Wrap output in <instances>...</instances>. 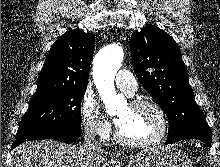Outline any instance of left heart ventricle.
Instances as JSON below:
<instances>
[{
  "label": "left heart ventricle",
  "mask_w": 220,
  "mask_h": 167,
  "mask_svg": "<svg viewBox=\"0 0 220 167\" xmlns=\"http://www.w3.org/2000/svg\"><path fill=\"white\" fill-rule=\"evenodd\" d=\"M119 129L132 141H142L156 136L161 128L160 117L152 108L123 107L117 114Z\"/></svg>",
  "instance_id": "obj_1"
}]
</instances>
